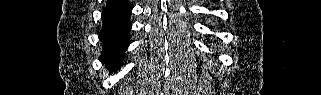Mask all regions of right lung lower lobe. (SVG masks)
<instances>
[{"instance_id": "obj_1", "label": "right lung lower lobe", "mask_w": 321, "mask_h": 95, "mask_svg": "<svg viewBox=\"0 0 321 95\" xmlns=\"http://www.w3.org/2000/svg\"><path fill=\"white\" fill-rule=\"evenodd\" d=\"M132 6L128 0H108L102 12L103 27L100 40L103 42L101 62L110 70L120 69L124 52L129 46Z\"/></svg>"}]
</instances>
